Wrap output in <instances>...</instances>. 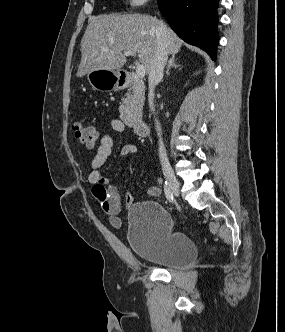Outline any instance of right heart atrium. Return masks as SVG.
<instances>
[{
  "label": "right heart atrium",
  "instance_id": "right-heart-atrium-1",
  "mask_svg": "<svg viewBox=\"0 0 285 332\" xmlns=\"http://www.w3.org/2000/svg\"><path fill=\"white\" fill-rule=\"evenodd\" d=\"M149 0H127V4L132 9H138L144 6Z\"/></svg>",
  "mask_w": 285,
  "mask_h": 332
}]
</instances>
